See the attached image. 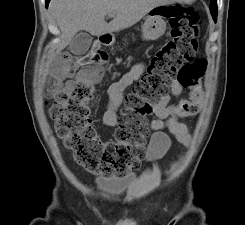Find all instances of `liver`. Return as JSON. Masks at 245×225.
Returning a JSON list of instances; mask_svg holds the SVG:
<instances>
[{
  "label": "liver",
  "mask_w": 245,
  "mask_h": 225,
  "mask_svg": "<svg viewBox=\"0 0 245 225\" xmlns=\"http://www.w3.org/2000/svg\"><path fill=\"white\" fill-rule=\"evenodd\" d=\"M171 0H51L49 9L61 31L56 51L49 57L47 65L56 54L71 42L78 31L84 30L101 36L129 28L139 22L153 8L169 4ZM114 14L107 23L105 16ZM47 72L43 73L45 78Z\"/></svg>",
  "instance_id": "6515ba94"
}]
</instances>
